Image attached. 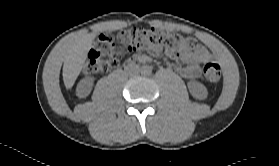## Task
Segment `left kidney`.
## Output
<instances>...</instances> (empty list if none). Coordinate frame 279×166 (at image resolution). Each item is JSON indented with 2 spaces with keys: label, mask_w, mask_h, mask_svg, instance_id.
<instances>
[{
  "label": "left kidney",
  "mask_w": 279,
  "mask_h": 166,
  "mask_svg": "<svg viewBox=\"0 0 279 166\" xmlns=\"http://www.w3.org/2000/svg\"><path fill=\"white\" fill-rule=\"evenodd\" d=\"M188 89L191 93V95L196 99H205L207 97V89L206 87L197 81H190L188 83Z\"/></svg>",
  "instance_id": "obj_1"
}]
</instances>
